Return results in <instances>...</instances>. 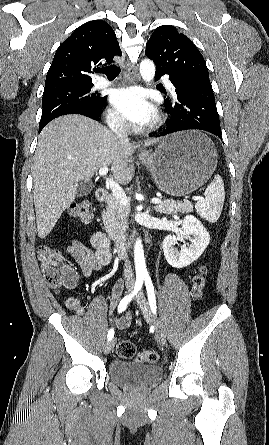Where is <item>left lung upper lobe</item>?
<instances>
[{"label":"left lung upper lobe","mask_w":269,"mask_h":445,"mask_svg":"<svg viewBox=\"0 0 269 445\" xmlns=\"http://www.w3.org/2000/svg\"><path fill=\"white\" fill-rule=\"evenodd\" d=\"M146 56L153 60L156 70L174 79L203 78L209 73L203 56L184 34L174 26H159L146 45Z\"/></svg>","instance_id":"5c2ea615"}]
</instances>
